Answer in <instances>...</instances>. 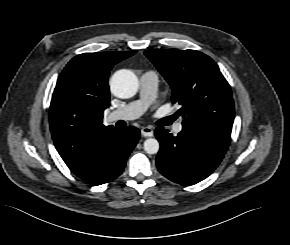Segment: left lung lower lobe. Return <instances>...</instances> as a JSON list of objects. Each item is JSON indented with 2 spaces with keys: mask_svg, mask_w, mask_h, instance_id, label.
<instances>
[{
  "mask_svg": "<svg viewBox=\"0 0 290 245\" xmlns=\"http://www.w3.org/2000/svg\"><path fill=\"white\" fill-rule=\"evenodd\" d=\"M155 136L160 142L156 165L169 180L192 185L208 177L222 161L230 140L196 127H183L175 137L163 127Z\"/></svg>",
  "mask_w": 290,
  "mask_h": 245,
  "instance_id": "left-lung-lower-lobe-1",
  "label": "left lung lower lobe"
}]
</instances>
